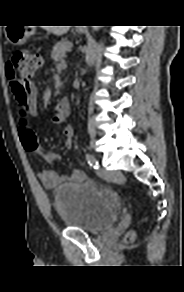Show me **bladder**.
<instances>
[{
	"label": "bladder",
	"mask_w": 184,
	"mask_h": 292,
	"mask_svg": "<svg viewBox=\"0 0 184 292\" xmlns=\"http://www.w3.org/2000/svg\"><path fill=\"white\" fill-rule=\"evenodd\" d=\"M53 206L66 227L100 233L115 222L120 198L112 191L82 182L59 187Z\"/></svg>",
	"instance_id": "obj_1"
}]
</instances>
